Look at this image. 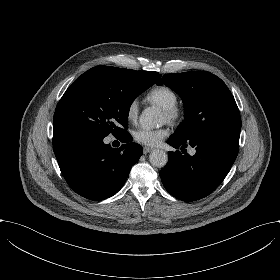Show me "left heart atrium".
Returning <instances> with one entry per match:
<instances>
[{
	"instance_id": "39dd6f15",
	"label": "left heart atrium",
	"mask_w": 280,
	"mask_h": 280,
	"mask_svg": "<svg viewBox=\"0 0 280 280\" xmlns=\"http://www.w3.org/2000/svg\"><path fill=\"white\" fill-rule=\"evenodd\" d=\"M168 135V130L162 128H144L140 127L133 131V138L140 145L154 147Z\"/></svg>"
}]
</instances>
